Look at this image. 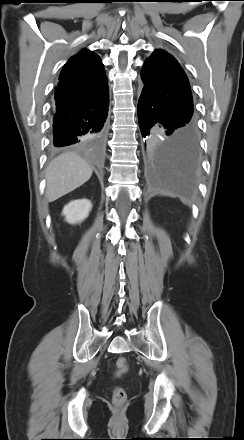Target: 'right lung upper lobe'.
I'll list each match as a JSON object with an SVG mask.
<instances>
[{"label":"right lung upper lobe","instance_id":"cb5924a9","mask_svg":"<svg viewBox=\"0 0 244 440\" xmlns=\"http://www.w3.org/2000/svg\"><path fill=\"white\" fill-rule=\"evenodd\" d=\"M108 93L103 64L92 51L82 50L71 57L61 71L55 90V109L83 106Z\"/></svg>","mask_w":244,"mask_h":440}]
</instances>
